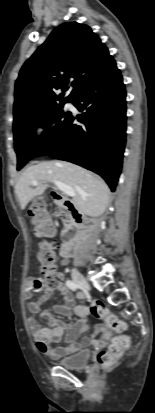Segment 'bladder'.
Segmentation results:
<instances>
[{"label": "bladder", "mask_w": 155, "mask_h": 413, "mask_svg": "<svg viewBox=\"0 0 155 413\" xmlns=\"http://www.w3.org/2000/svg\"><path fill=\"white\" fill-rule=\"evenodd\" d=\"M89 357L90 352L88 350H82L74 355L61 358L58 361V365L72 370L82 369L87 365Z\"/></svg>", "instance_id": "1"}]
</instances>
